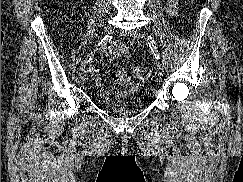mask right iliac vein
Segmentation results:
<instances>
[{
	"instance_id": "right-iliac-vein-1",
	"label": "right iliac vein",
	"mask_w": 243,
	"mask_h": 182,
	"mask_svg": "<svg viewBox=\"0 0 243 182\" xmlns=\"http://www.w3.org/2000/svg\"><path fill=\"white\" fill-rule=\"evenodd\" d=\"M104 33H105V35H112L113 33H114V28H113V26L112 25H107L106 27H105V29H104ZM87 81H88V76H87V73H86V71H82L81 72V74H80V82L82 83V84H86L87 83Z\"/></svg>"
}]
</instances>
